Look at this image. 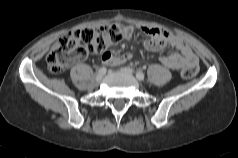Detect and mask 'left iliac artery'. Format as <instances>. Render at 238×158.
Segmentation results:
<instances>
[{"mask_svg":"<svg viewBox=\"0 0 238 158\" xmlns=\"http://www.w3.org/2000/svg\"><path fill=\"white\" fill-rule=\"evenodd\" d=\"M136 77H137V79H139V80H143L144 77H145V75H144V73H143L142 71H137V72H136Z\"/></svg>","mask_w":238,"mask_h":158,"instance_id":"44dca946","label":"left iliac artery"}]
</instances>
